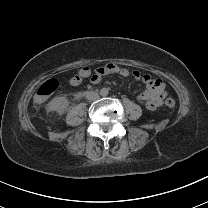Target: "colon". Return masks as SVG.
I'll use <instances>...</instances> for the list:
<instances>
[{
    "label": "colon",
    "mask_w": 208,
    "mask_h": 208,
    "mask_svg": "<svg viewBox=\"0 0 208 208\" xmlns=\"http://www.w3.org/2000/svg\"><path fill=\"white\" fill-rule=\"evenodd\" d=\"M90 72H92L89 68L84 67L81 69V71L75 72V77H73L69 84H79L84 83L86 77L89 76ZM60 86V79L58 77H51L50 79H47L43 84L39 86V89L36 93V100L38 102H45L48 99V96L51 95L58 87ZM165 104L167 108L172 110L175 107V101L168 97L165 101Z\"/></svg>",
    "instance_id": "colon-1"
}]
</instances>
